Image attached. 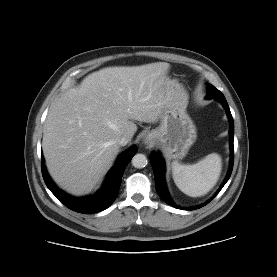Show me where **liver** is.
<instances>
[{
	"mask_svg": "<svg viewBox=\"0 0 277 277\" xmlns=\"http://www.w3.org/2000/svg\"><path fill=\"white\" fill-rule=\"evenodd\" d=\"M170 64L108 67L89 74L52 105L42 148L54 181L67 192H90L119 152L118 139L130 140L134 120L157 122L175 101L187 103L168 79Z\"/></svg>",
	"mask_w": 277,
	"mask_h": 277,
	"instance_id": "6515ba94",
	"label": "liver"
}]
</instances>
